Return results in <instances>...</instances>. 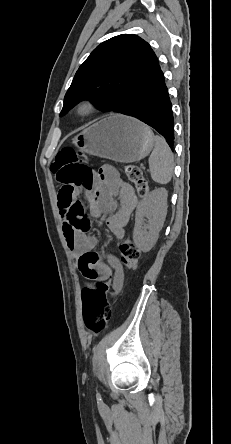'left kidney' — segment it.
Masks as SVG:
<instances>
[{
	"label": "left kidney",
	"mask_w": 231,
	"mask_h": 444,
	"mask_svg": "<svg viewBox=\"0 0 231 444\" xmlns=\"http://www.w3.org/2000/svg\"><path fill=\"white\" fill-rule=\"evenodd\" d=\"M167 197V190L158 188L147 194L137 206L133 241L143 252H149L158 240L167 214ZM145 217L147 224L144 223Z\"/></svg>",
	"instance_id": "obj_1"
}]
</instances>
